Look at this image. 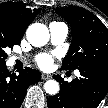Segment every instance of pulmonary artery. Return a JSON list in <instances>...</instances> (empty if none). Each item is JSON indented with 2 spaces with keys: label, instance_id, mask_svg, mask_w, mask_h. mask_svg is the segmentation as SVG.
Masks as SVG:
<instances>
[{
  "label": "pulmonary artery",
  "instance_id": "obj_1",
  "mask_svg": "<svg viewBox=\"0 0 108 108\" xmlns=\"http://www.w3.org/2000/svg\"><path fill=\"white\" fill-rule=\"evenodd\" d=\"M50 38L53 45H59L63 43L68 34V27L65 23L62 22H52L49 25ZM20 59L18 57H13L12 62ZM76 75H79V71L75 72Z\"/></svg>",
  "mask_w": 108,
  "mask_h": 108
}]
</instances>
